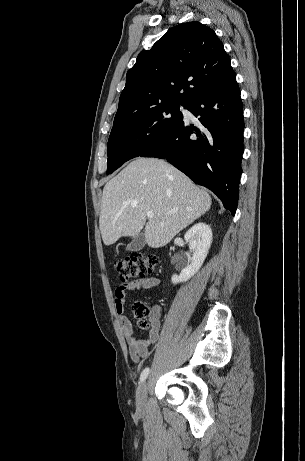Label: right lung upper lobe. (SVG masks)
<instances>
[{"label":"right lung upper lobe","mask_w":305,"mask_h":461,"mask_svg":"<svg viewBox=\"0 0 305 461\" xmlns=\"http://www.w3.org/2000/svg\"><path fill=\"white\" fill-rule=\"evenodd\" d=\"M234 73L216 33L199 22L169 29L128 71L114 123L168 103H190Z\"/></svg>","instance_id":"obj_1"}]
</instances>
